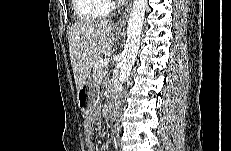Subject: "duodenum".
<instances>
[{
    "mask_svg": "<svg viewBox=\"0 0 231 151\" xmlns=\"http://www.w3.org/2000/svg\"><path fill=\"white\" fill-rule=\"evenodd\" d=\"M117 107V102L116 100H111L110 105L105 109L106 114H113L115 109Z\"/></svg>",
    "mask_w": 231,
    "mask_h": 151,
    "instance_id": "1",
    "label": "duodenum"
}]
</instances>
